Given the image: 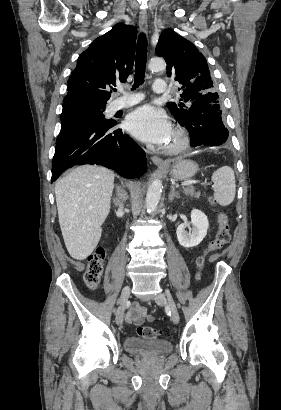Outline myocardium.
Here are the masks:
<instances>
[{"label":"myocardium","instance_id":"myocardium-1","mask_svg":"<svg viewBox=\"0 0 281 410\" xmlns=\"http://www.w3.org/2000/svg\"><path fill=\"white\" fill-rule=\"evenodd\" d=\"M172 135L175 140L174 144L171 146H164L162 151L169 155H176L183 152L189 146L190 137L187 131L179 126L174 129Z\"/></svg>","mask_w":281,"mask_h":410}]
</instances>
